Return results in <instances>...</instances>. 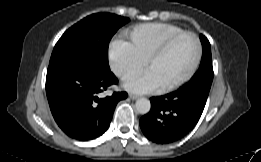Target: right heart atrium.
<instances>
[{
    "label": "right heart atrium",
    "mask_w": 261,
    "mask_h": 162,
    "mask_svg": "<svg viewBox=\"0 0 261 162\" xmlns=\"http://www.w3.org/2000/svg\"><path fill=\"white\" fill-rule=\"evenodd\" d=\"M108 59L112 71L120 78L138 73L145 64V59L123 38H116L110 43Z\"/></svg>",
    "instance_id": "right-heart-atrium-1"
}]
</instances>
